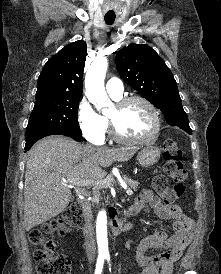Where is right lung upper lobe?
<instances>
[{"instance_id":"cb5924a9","label":"right lung upper lobe","mask_w":221,"mask_h":274,"mask_svg":"<svg viewBox=\"0 0 221 274\" xmlns=\"http://www.w3.org/2000/svg\"><path fill=\"white\" fill-rule=\"evenodd\" d=\"M86 54L87 45L79 40L52 56L38 78L36 99L81 96Z\"/></svg>"}]
</instances>
